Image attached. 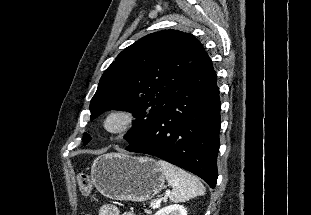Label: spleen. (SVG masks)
Here are the masks:
<instances>
[{"instance_id":"1","label":"spleen","mask_w":311,"mask_h":215,"mask_svg":"<svg viewBox=\"0 0 311 215\" xmlns=\"http://www.w3.org/2000/svg\"><path fill=\"white\" fill-rule=\"evenodd\" d=\"M157 165L161 168L168 184L173 188L169 195L172 202H184L205 193L203 184L196 176L164 160H159Z\"/></svg>"}]
</instances>
